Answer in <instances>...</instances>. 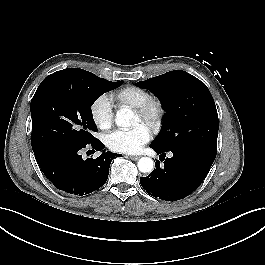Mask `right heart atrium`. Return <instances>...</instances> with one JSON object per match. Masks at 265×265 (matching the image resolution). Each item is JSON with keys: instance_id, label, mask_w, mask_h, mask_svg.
Returning <instances> with one entry per match:
<instances>
[{"instance_id": "1", "label": "right heart atrium", "mask_w": 265, "mask_h": 265, "mask_svg": "<svg viewBox=\"0 0 265 265\" xmlns=\"http://www.w3.org/2000/svg\"><path fill=\"white\" fill-rule=\"evenodd\" d=\"M90 115L94 124L101 130L109 129L114 122V110L107 95L97 97L90 106Z\"/></svg>"}]
</instances>
